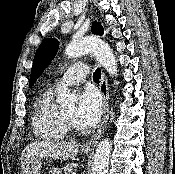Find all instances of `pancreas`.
<instances>
[{"label": "pancreas", "instance_id": "obj_1", "mask_svg": "<svg viewBox=\"0 0 175 174\" xmlns=\"http://www.w3.org/2000/svg\"><path fill=\"white\" fill-rule=\"evenodd\" d=\"M62 170H63L64 174H73V164L68 163L66 166H64L62 168ZM51 174H55V173H51Z\"/></svg>", "mask_w": 175, "mask_h": 174}]
</instances>
